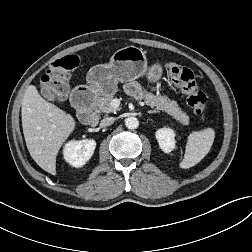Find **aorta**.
<instances>
[{
  "label": "aorta",
  "mask_w": 252,
  "mask_h": 252,
  "mask_svg": "<svg viewBox=\"0 0 252 252\" xmlns=\"http://www.w3.org/2000/svg\"><path fill=\"white\" fill-rule=\"evenodd\" d=\"M125 125L128 129H136L139 126V121L136 117H128L125 120Z\"/></svg>",
  "instance_id": "762f6f07"
}]
</instances>
